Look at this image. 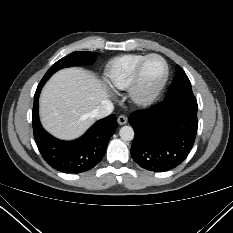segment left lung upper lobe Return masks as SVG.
<instances>
[{"label":"left lung upper lobe","mask_w":233,"mask_h":233,"mask_svg":"<svg viewBox=\"0 0 233 233\" xmlns=\"http://www.w3.org/2000/svg\"><path fill=\"white\" fill-rule=\"evenodd\" d=\"M176 95L194 96L191 88V83L186 73L179 65H177L176 67V75L169 87L166 98Z\"/></svg>","instance_id":"1"}]
</instances>
